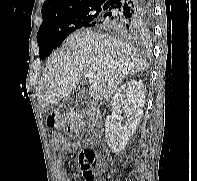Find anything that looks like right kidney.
<instances>
[{
  "mask_svg": "<svg viewBox=\"0 0 197 181\" xmlns=\"http://www.w3.org/2000/svg\"><path fill=\"white\" fill-rule=\"evenodd\" d=\"M144 103L145 89L142 82L137 80L124 83L112 97V112L121 114L124 111L128 119L125 126L118 122L120 117L108 116L105 121V139L113 152L124 150L140 123Z\"/></svg>",
  "mask_w": 197,
  "mask_h": 181,
  "instance_id": "1",
  "label": "right kidney"
}]
</instances>
